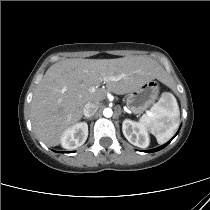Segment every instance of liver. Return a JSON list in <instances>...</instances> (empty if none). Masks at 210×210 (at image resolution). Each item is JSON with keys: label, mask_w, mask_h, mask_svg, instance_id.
I'll use <instances>...</instances> for the list:
<instances>
[{"label": "liver", "mask_w": 210, "mask_h": 210, "mask_svg": "<svg viewBox=\"0 0 210 210\" xmlns=\"http://www.w3.org/2000/svg\"><path fill=\"white\" fill-rule=\"evenodd\" d=\"M164 77V69L145 56L60 61L48 68L35 90L33 129L42 142L57 146L64 132L81 120L88 102L99 104L109 92L123 95L154 79L165 82Z\"/></svg>", "instance_id": "obj_1"}]
</instances>
